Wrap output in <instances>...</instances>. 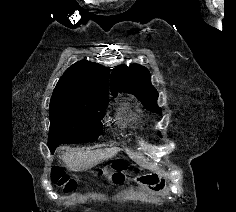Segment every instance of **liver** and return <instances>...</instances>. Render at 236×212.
Segmentation results:
<instances>
[{
  "mask_svg": "<svg viewBox=\"0 0 236 212\" xmlns=\"http://www.w3.org/2000/svg\"><path fill=\"white\" fill-rule=\"evenodd\" d=\"M120 150L121 149L118 147L94 151H83L81 149H76L63 153L60 158L69 170L81 171L84 169L93 168L99 163L113 158Z\"/></svg>",
  "mask_w": 236,
  "mask_h": 212,
  "instance_id": "6515ba94",
  "label": "liver"
}]
</instances>
